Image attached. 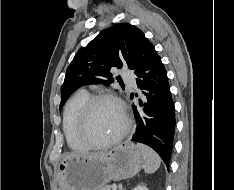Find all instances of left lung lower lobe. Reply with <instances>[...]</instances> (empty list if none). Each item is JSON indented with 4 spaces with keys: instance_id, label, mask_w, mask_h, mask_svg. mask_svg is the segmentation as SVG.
Returning <instances> with one entry per match:
<instances>
[{
    "instance_id": "0a47b994",
    "label": "left lung lower lobe",
    "mask_w": 234,
    "mask_h": 190,
    "mask_svg": "<svg viewBox=\"0 0 234 190\" xmlns=\"http://www.w3.org/2000/svg\"><path fill=\"white\" fill-rule=\"evenodd\" d=\"M132 70L143 97L139 106L133 105L137 127L132 141L153 148L169 169L176 124L175 108L165 67L147 38L140 45ZM134 95L138 97V94H131L132 99Z\"/></svg>"
}]
</instances>
